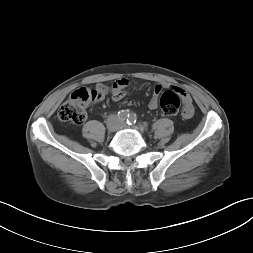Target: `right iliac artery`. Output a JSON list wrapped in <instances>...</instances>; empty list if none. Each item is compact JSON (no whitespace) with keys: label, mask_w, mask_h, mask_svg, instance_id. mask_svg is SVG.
<instances>
[{"label":"right iliac artery","mask_w":253,"mask_h":253,"mask_svg":"<svg viewBox=\"0 0 253 253\" xmlns=\"http://www.w3.org/2000/svg\"><path fill=\"white\" fill-rule=\"evenodd\" d=\"M128 111L127 110H121L118 112V118L122 121L126 120L128 118Z\"/></svg>","instance_id":"right-iliac-artery-1"}]
</instances>
